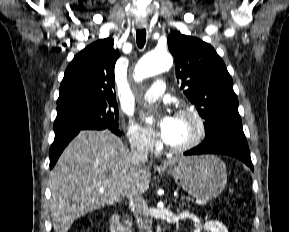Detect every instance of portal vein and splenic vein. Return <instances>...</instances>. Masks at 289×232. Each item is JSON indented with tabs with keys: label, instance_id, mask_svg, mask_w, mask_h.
I'll list each match as a JSON object with an SVG mask.
<instances>
[{
	"label": "portal vein and splenic vein",
	"instance_id": "1",
	"mask_svg": "<svg viewBox=\"0 0 289 232\" xmlns=\"http://www.w3.org/2000/svg\"><path fill=\"white\" fill-rule=\"evenodd\" d=\"M100 191H103V188H100ZM189 201H191L192 203H195L197 205H206L208 203L207 200H194V199H189Z\"/></svg>",
	"mask_w": 289,
	"mask_h": 232
}]
</instances>
